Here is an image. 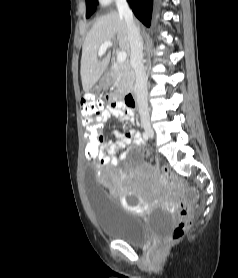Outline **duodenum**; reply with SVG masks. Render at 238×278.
Instances as JSON below:
<instances>
[{
  "label": "duodenum",
  "instance_id": "obj_1",
  "mask_svg": "<svg viewBox=\"0 0 238 278\" xmlns=\"http://www.w3.org/2000/svg\"><path fill=\"white\" fill-rule=\"evenodd\" d=\"M125 102L131 108L136 107L137 106V95H136V92L135 91L128 92L126 97H125Z\"/></svg>",
  "mask_w": 238,
  "mask_h": 278
}]
</instances>
